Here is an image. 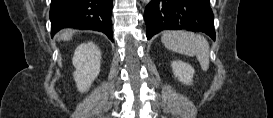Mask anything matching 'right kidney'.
I'll return each instance as SVG.
<instances>
[{
	"mask_svg": "<svg viewBox=\"0 0 273 118\" xmlns=\"http://www.w3.org/2000/svg\"><path fill=\"white\" fill-rule=\"evenodd\" d=\"M76 71L73 74L79 92L88 91L92 82L97 78L101 66L100 49L93 43L80 44L72 58Z\"/></svg>",
	"mask_w": 273,
	"mask_h": 118,
	"instance_id": "1",
	"label": "right kidney"
}]
</instances>
